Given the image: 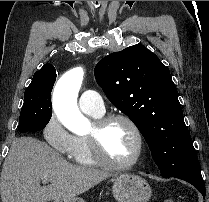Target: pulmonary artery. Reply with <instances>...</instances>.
Segmentation results:
<instances>
[{
    "label": "pulmonary artery",
    "mask_w": 209,
    "mask_h": 202,
    "mask_svg": "<svg viewBox=\"0 0 209 202\" xmlns=\"http://www.w3.org/2000/svg\"><path fill=\"white\" fill-rule=\"evenodd\" d=\"M78 106L84 112L102 115L105 112L103 100L97 90L88 88L78 99Z\"/></svg>",
    "instance_id": "e3ab8cb5"
}]
</instances>
